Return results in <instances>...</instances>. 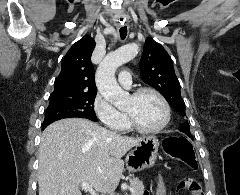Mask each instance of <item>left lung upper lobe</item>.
I'll return each instance as SVG.
<instances>
[{"mask_svg": "<svg viewBox=\"0 0 240 195\" xmlns=\"http://www.w3.org/2000/svg\"><path fill=\"white\" fill-rule=\"evenodd\" d=\"M140 74L143 81L159 91L181 116L186 115L172 59L163 46L152 39L145 42L140 60ZM179 130L191 136L188 122H184Z\"/></svg>", "mask_w": 240, "mask_h": 195, "instance_id": "obj_1", "label": "left lung upper lobe"}]
</instances>
